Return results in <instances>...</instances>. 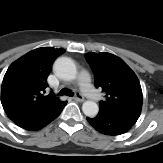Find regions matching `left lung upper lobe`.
I'll use <instances>...</instances> for the list:
<instances>
[{
  "instance_id": "5c2ea615",
  "label": "left lung upper lobe",
  "mask_w": 163,
  "mask_h": 163,
  "mask_svg": "<svg viewBox=\"0 0 163 163\" xmlns=\"http://www.w3.org/2000/svg\"><path fill=\"white\" fill-rule=\"evenodd\" d=\"M86 59L95 76V87L104 93L99 114L129 116L138 119L142 91L133 71L110 53H89Z\"/></svg>"
}]
</instances>
